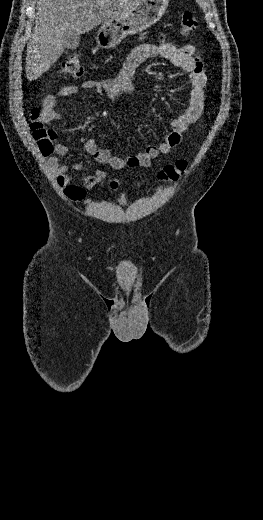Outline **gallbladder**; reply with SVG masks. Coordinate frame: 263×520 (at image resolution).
<instances>
[{
  "instance_id": "gallbladder-1",
  "label": "gallbladder",
  "mask_w": 263,
  "mask_h": 520,
  "mask_svg": "<svg viewBox=\"0 0 263 520\" xmlns=\"http://www.w3.org/2000/svg\"><path fill=\"white\" fill-rule=\"evenodd\" d=\"M64 48L73 50L76 49L79 45L80 35L75 33H67L63 36Z\"/></svg>"
}]
</instances>
